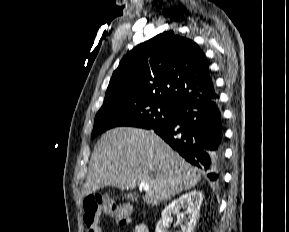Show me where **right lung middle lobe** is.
I'll use <instances>...</instances> for the list:
<instances>
[{"instance_id":"dd1d6c3e","label":"right lung middle lobe","mask_w":289,"mask_h":232,"mask_svg":"<svg viewBox=\"0 0 289 232\" xmlns=\"http://www.w3.org/2000/svg\"><path fill=\"white\" fill-rule=\"evenodd\" d=\"M175 111L176 108L140 97L108 98L95 117L91 138L117 126L155 128L171 122Z\"/></svg>"}]
</instances>
